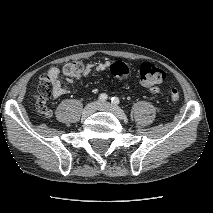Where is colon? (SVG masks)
<instances>
[{
	"label": "colon",
	"mask_w": 213,
	"mask_h": 213,
	"mask_svg": "<svg viewBox=\"0 0 213 213\" xmlns=\"http://www.w3.org/2000/svg\"><path fill=\"white\" fill-rule=\"evenodd\" d=\"M112 74L119 80H124L130 75L129 66L121 61L112 63L110 68ZM63 74L71 79H77L84 75L85 65L80 61H71L66 63L62 68ZM165 72L150 62H144L139 67L140 82L147 87H154L161 84L165 80ZM50 97V90L48 83L41 79L39 88L35 94L38 112L44 116L49 117L51 112L47 106V101ZM170 97L173 102H177L180 98V93L176 88L170 91Z\"/></svg>",
	"instance_id": "1"
}]
</instances>
